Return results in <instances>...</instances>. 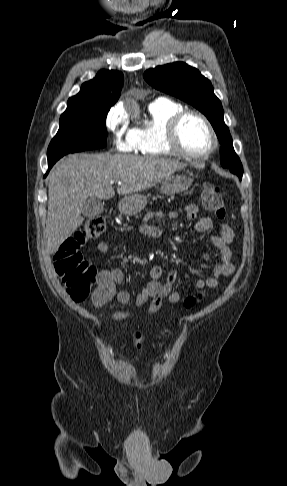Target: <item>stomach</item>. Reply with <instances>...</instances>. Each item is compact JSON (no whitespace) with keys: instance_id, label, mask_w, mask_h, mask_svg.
I'll return each mask as SVG.
<instances>
[{"instance_id":"0dacf381","label":"stomach","mask_w":287,"mask_h":486,"mask_svg":"<svg viewBox=\"0 0 287 486\" xmlns=\"http://www.w3.org/2000/svg\"><path fill=\"white\" fill-rule=\"evenodd\" d=\"M192 179L186 175H172L162 180L160 183V192L171 195L181 193L191 186ZM147 196L136 193L123 197L119 204V211L125 215H133L140 212L147 204Z\"/></svg>"}]
</instances>
